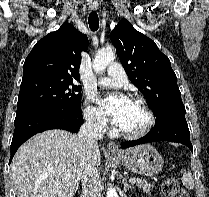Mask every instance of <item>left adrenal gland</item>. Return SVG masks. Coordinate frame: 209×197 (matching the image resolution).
<instances>
[{"label":"left adrenal gland","instance_id":"1","mask_svg":"<svg viewBox=\"0 0 209 197\" xmlns=\"http://www.w3.org/2000/svg\"><path fill=\"white\" fill-rule=\"evenodd\" d=\"M122 184H123V188H124V190L126 191L127 189H133L134 187L131 185V184H129L128 182H127V180L124 178L123 179V182H122Z\"/></svg>","mask_w":209,"mask_h":197}]
</instances>
